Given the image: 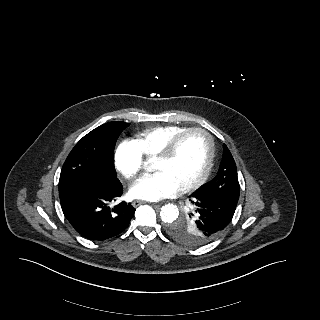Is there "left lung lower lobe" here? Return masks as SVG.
Instances as JSON below:
<instances>
[{"label": "left lung lower lobe", "mask_w": 320, "mask_h": 320, "mask_svg": "<svg viewBox=\"0 0 320 320\" xmlns=\"http://www.w3.org/2000/svg\"><path fill=\"white\" fill-rule=\"evenodd\" d=\"M190 200L197 208L203 235L209 242L224 232L237 206V203L201 190L191 194Z\"/></svg>", "instance_id": "obj_1"}]
</instances>
